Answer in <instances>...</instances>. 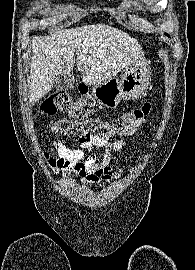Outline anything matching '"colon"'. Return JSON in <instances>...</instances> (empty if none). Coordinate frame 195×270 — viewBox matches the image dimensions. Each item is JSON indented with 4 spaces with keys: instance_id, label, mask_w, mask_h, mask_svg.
<instances>
[{
    "instance_id": "obj_1",
    "label": "colon",
    "mask_w": 195,
    "mask_h": 270,
    "mask_svg": "<svg viewBox=\"0 0 195 270\" xmlns=\"http://www.w3.org/2000/svg\"><path fill=\"white\" fill-rule=\"evenodd\" d=\"M94 110L95 100L86 89L78 101H74L66 90H57L48 95L40 105V112L46 116L55 115L58 111L68 114L69 119L50 122V130L54 133L65 136H108L124 129L137 119L145 117L151 110V104L143 103L110 121L92 118ZM50 163L54 167L58 165L54 159H50Z\"/></svg>"
}]
</instances>
